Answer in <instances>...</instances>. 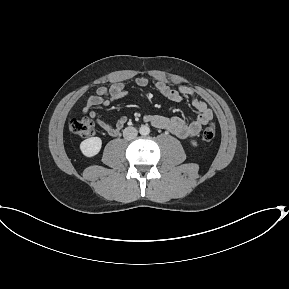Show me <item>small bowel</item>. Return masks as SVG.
<instances>
[{"label":"small bowel","instance_id":"obj_1","mask_svg":"<svg viewBox=\"0 0 289 289\" xmlns=\"http://www.w3.org/2000/svg\"><path fill=\"white\" fill-rule=\"evenodd\" d=\"M135 85L138 87H146L149 85V80L145 77H140L135 80ZM155 89L165 98L173 102H182L185 98L189 99L193 108L197 111V116L191 120L177 116L166 117L158 114H147L145 120L153 126L167 130L178 138L186 139L197 136L202 126L207 124L212 118V110L201 99H199L192 88L180 85L176 88L170 87L165 81L157 80L154 83ZM128 91L123 82L113 83L110 87H99L95 94L88 97L86 104L83 107V113L97 122L98 126L106 131L109 135L115 136L123 128L127 122L126 117H121L115 124H110L96 116L93 107L109 106L115 100L126 97Z\"/></svg>","mask_w":289,"mask_h":289}]
</instances>
